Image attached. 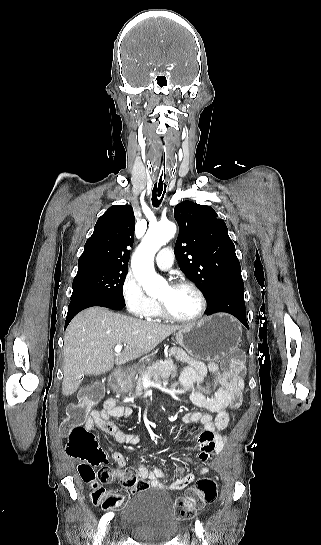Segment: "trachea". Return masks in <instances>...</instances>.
Here are the masks:
<instances>
[{
	"label": "trachea",
	"instance_id": "1",
	"mask_svg": "<svg viewBox=\"0 0 321 545\" xmlns=\"http://www.w3.org/2000/svg\"><path fill=\"white\" fill-rule=\"evenodd\" d=\"M168 153L163 148L161 152L159 153V160H158V168L157 173L154 174L152 178V205L154 207H158L164 197V194L166 192V186H167V178H166V168L168 165Z\"/></svg>",
	"mask_w": 321,
	"mask_h": 545
}]
</instances>
